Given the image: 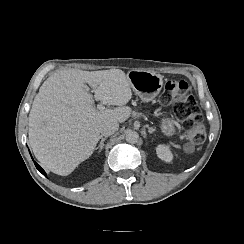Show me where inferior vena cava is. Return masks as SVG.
Returning a JSON list of instances; mask_svg holds the SVG:
<instances>
[{
    "label": "inferior vena cava",
    "mask_w": 244,
    "mask_h": 244,
    "mask_svg": "<svg viewBox=\"0 0 244 244\" xmlns=\"http://www.w3.org/2000/svg\"><path fill=\"white\" fill-rule=\"evenodd\" d=\"M119 128L117 121H106L99 126V132L102 136H110L114 134Z\"/></svg>",
    "instance_id": "inferior-vena-cava-1"
}]
</instances>
